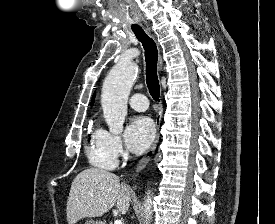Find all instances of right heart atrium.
Wrapping results in <instances>:
<instances>
[{
    "instance_id": "right-heart-atrium-1",
    "label": "right heart atrium",
    "mask_w": 275,
    "mask_h": 224,
    "mask_svg": "<svg viewBox=\"0 0 275 224\" xmlns=\"http://www.w3.org/2000/svg\"><path fill=\"white\" fill-rule=\"evenodd\" d=\"M108 149L115 156V158L124 155L121 137L118 134L103 130Z\"/></svg>"
}]
</instances>
